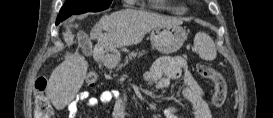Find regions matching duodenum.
<instances>
[{
    "label": "duodenum",
    "mask_w": 273,
    "mask_h": 118,
    "mask_svg": "<svg viewBox=\"0 0 273 118\" xmlns=\"http://www.w3.org/2000/svg\"><path fill=\"white\" fill-rule=\"evenodd\" d=\"M97 60L99 61V62H104V61H106L107 60V55L106 54H98L97 55Z\"/></svg>",
    "instance_id": "duodenum-1"
}]
</instances>
